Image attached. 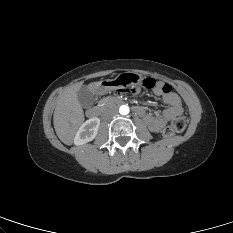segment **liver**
<instances>
[{
	"mask_svg": "<svg viewBox=\"0 0 233 233\" xmlns=\"http://www.w3.org/2000/svg\"><path fill=\"white\" fill-rule=\"evenodd\" d=\"M96 83L89 85V89L96 92ZM82 83L68 87L59 97L54 110L53 123L58 138L66 145H70L78 128L84 122V112L77 99V92Z\"/></svg>",
	"mask_w": 233,
	"mask_h": 233,
	"instance_id": "6515ba94",
	"label": "liver"
}]
</instances>
